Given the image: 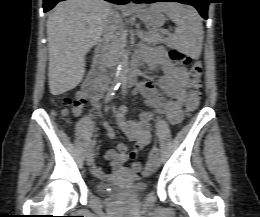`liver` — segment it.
<instances>
[{
    "instance_id": "obj_1",
    "label": "liver",
    "mask_w": 260,
    "mask_h": 217,
    "mask_svg": "<svg viewBox=\"0 0 260 217\" xmlns=\"http://www.w3.org/2000/svg\"><path fill=\"white\" fill-rule=\"evenodd\" d=\"M104 0H66L49 13V90L60 95L74 89L85 73V55L101 38L112 11Z\"/></svg>"
}]
</instances>
